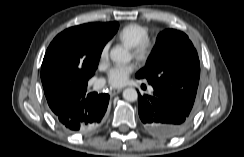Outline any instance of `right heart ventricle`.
Segmentation results:
<instances>
[{
	"instance_id": "e07e8e85",
	"label": "right heart ventricle",
	"mask_w": 244,
	"mask_h": 157,
	"mask_svg": "<svg viewBox=\"0 0 244 157\" xmlns=\"http://www.w3.org/2000/svg\"><path fill=\"white\" fill-rule=\"evenodd\" d=\"M149 30L147 27L138 23H129L125 25L118 33V38L133 47L143 39L147 38Z\"/></svg>"
}]
</instances>
